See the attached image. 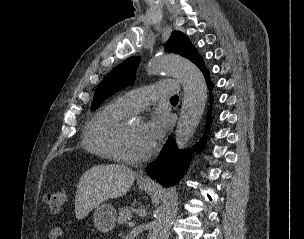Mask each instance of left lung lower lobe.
Listing matches in <instances>:
<instances>
[{
  "label": "left lung lower lobe",
  "mask_w": 304,
  "mask_h": 239,
  "mask_svg": "<svg viewBox=\"0 0 304 239\" xmlns=\"http://www.w3.org/2000/svg\"><path fill=\"white\" fill-rule=\"evenodd\" d=\"M198 67L205 76L208 88H213V83L209 79V71L205 67L202 60ZM205 137L201 139L199 148L204 146ZM187 164V156L185 153L176 149V144L169 139L162 151L160 152L156 161L152 162L147 167V173L152 179H156L163 186L169 187L181 178Z\"/></svg>",
  "instance_id": "obj_1"
}]
</instances>
